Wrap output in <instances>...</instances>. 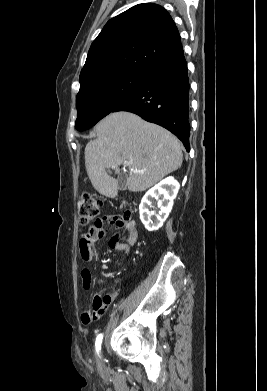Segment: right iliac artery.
Segmentation results:
<instances>
[{
	"label": "right iliac artery",
	"mask_w": 267,
	"mask_h": 391,
	"mask_svg": "<svg viewBox=\"0 0 267 391\" xmlns=\"http://www.w3.org/2000/svg\"><path fill=\"white\" fill-rule=\"evenodd\" d=\"M102 338H103L102 334L98 335V337L96 338V350H97V352H99V350L101 349Z\"/></svg>",
	"instance_id": "obj_1"
}]
</instances>
